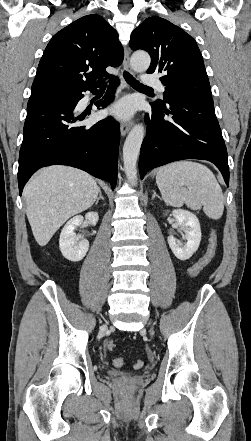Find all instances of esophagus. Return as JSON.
I'll return each mask as SVG.
<instances>
[{
    "label": "esophagus",
    "mask_w": 251,
    "mask_h": 441,
    "mask_svg": "<svg viewBox=\"0 0 251 441\" xmlns=\"http://www.w3.org/2000/svg\"><path fill=\"white\" fill-rule=\"evenodd\" d=\"M123 66H124L125 70L131 72L130 57H129V49L128 48L125 49ZM132 125H133L132 122H122L121 123L120 130H121L122 136H125L129 132V130L131 129Z\"/></svg>",
    "instance_id": "esophagus-1"
}]
</instances>
